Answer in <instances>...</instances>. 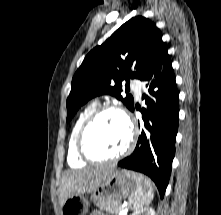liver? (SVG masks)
I'll return each mask as SVG.
<instances>
[{
	"mask_svg": "<svg viewBox=\"0 0 221 215\" xmlns=\"http://www.w3.org/2000/svg\"><path fill=\"white\" fill-rule=\"evenodd\" d=\"M112 170V167L100 166L67 173L59 187L60 205L69 197L92 192Z\"/></svg>",
	"mask_w": 221,
	"mask_h": 215,
	"instance_id": "1",
	"label": "liver"
}]
</instances>
